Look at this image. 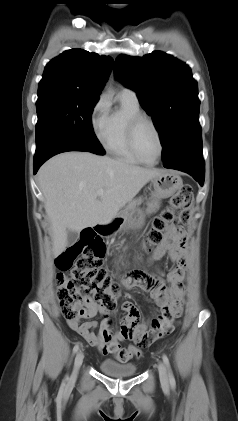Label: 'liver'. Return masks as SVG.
<instances>
[{"mask_svg": "<svg viewBox=\"0 0 238 421\" xmlns=\"http://www.w3.org/2000/svg\"><path fill=\"white\" fill-rule=\"evenodd\" d=\"M164 170L143 168L89 152H66L48 160L38 172L51 222L53 253L67 245V230L79 232L112 222L142 187ZM103 190V196L97 191Z\"/></svg>", "mask_w": 238, "mask_h": 421, "instance_id": "obj_1", "label": "liver"}]
</instances>
